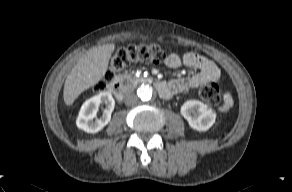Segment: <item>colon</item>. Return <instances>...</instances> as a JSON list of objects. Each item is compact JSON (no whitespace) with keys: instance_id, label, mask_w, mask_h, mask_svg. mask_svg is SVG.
Masks as SVG:
<instances>
[{"instance_id":"obj_1","label":"colon","mask_w":292,"mask_h":192,"mask_svg":"<svg viewBox=\"0 0 292 192\" xmlns=\"http://www.w3.org/2000/svg\"><path fill=\"white\" fill-rule=\"evenodd\" d=\"M165 57V52L157 44H131L122 47L117 50L104 79L94 86V90L103 91L119 72L132 63L156 64L164 61ZM198 94L201 99L210 104L218 105L221 102L220 88L216 83H210L201 87Z\"/></svg>"}]
</instances>
